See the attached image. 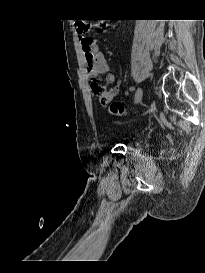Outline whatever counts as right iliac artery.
<instances>
[{
  "label": "right iliac artery",
  "instance_id": "1",
  "mask_svg": "<svg viewBox=\"0 0 205 273\" xmlns=\"http://www.w3.org/2000/svg\"><path fill=\"white\" fill-rule=\"evenodd\" d=\"M130 90L133 91V90H134V87H131Z\"/></svg>",
  "mask_w": 205,
  "mask_h": 273
}]
</instances>
